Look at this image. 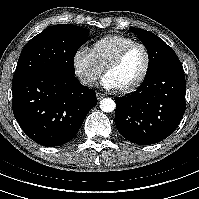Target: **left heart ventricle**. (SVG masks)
<instances>
[{
	"instance_id": "left-heart-ventricle-1",
	"label": "left heart ventricle",
	"mask_w": 199,
	"mask_h": 199,
	"mask_svg": "<svg viewBox=\"0 0 199 199\" xmlns=\"http://www.w3.org/2000/svg\"><path fill=\"white\" fill-rule=\"evenodd\" d=\"M146 63L144 50L134 46L128 50L119 65L105 75L115 89L133 84L142 74Z\"/></svg>"
}]
</instances>
